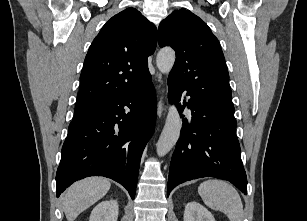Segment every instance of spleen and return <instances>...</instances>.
<instances>
[{
    "mask_svg": "<svg viewBox=\"0 0 307 221\" xmlns=\"http://www.w3.org/2000/svg\"><path fill=\"white\" fill-rule=\"evenodd\" d=\"M203 202L227 215L230 221H242L243 205L236 189L223 180L209 179L198 187Z\"/></svg>",
    "mask_w": 307,
    "mask_h": 221,
    "instance_id": "3e777b00",
    "label": "spleen"
}]
</instances>
